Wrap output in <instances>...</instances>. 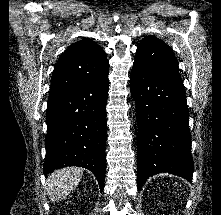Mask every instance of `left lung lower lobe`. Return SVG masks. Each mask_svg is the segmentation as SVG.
<instances>
[{
    "instance_id": "0a47b994",
    "label": "left lung lower lobe",
    "mask_w": 221,
    "mask_h": 215,
    "mask_svg": "<svg viewBox=\"0 0 221 215\" xmlns=\"http://www.w3.org/2000/svg\"><path fill=\"white\" fill-rule=\"evenodd\" d=\"M130 91L138 111V190L160 172L191 182V135L182 81L134 63Z\"/></svg>"
}]
</instances>
